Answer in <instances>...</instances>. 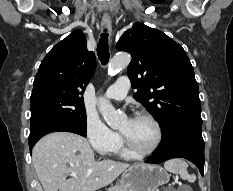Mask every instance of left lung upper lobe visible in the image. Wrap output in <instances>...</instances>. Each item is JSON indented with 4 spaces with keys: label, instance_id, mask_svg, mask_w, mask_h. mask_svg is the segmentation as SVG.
<instances>
[{
    "label": "left lung upper lobe",
    "instance_id": "obj_1",
    "mask_svg": "<svg viewBox=\"0 0 233 191\" xmlns=\"http://www.w3.org/2000/svg\"><path fill=\"white\" fill-rule=\"evenodd\" d=\"M132 56L134 97L158 121L164 140L184 124L202 125L199 89L184 49L162 31L136 23L117 42Z\"/></svg>",
    "mask_w": 233,
    "mask_h": 191
}]
</instances>
